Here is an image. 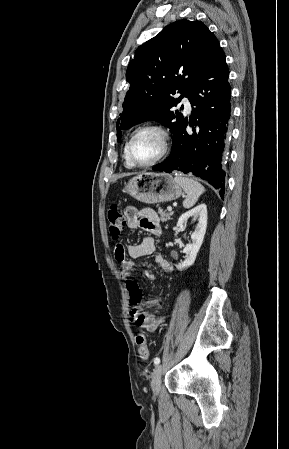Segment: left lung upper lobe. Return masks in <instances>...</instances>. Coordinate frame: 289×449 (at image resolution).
Segmentation results:
<instances>
[{"instance_id":"1","label":"left lung upper lobe","mask_w":289,"mask_h":449,"mask_svg":"<svg viewBox=\"0 0 289 449\" xmlns=\"http://www.w3.org/2000/svg\"><path fill=\"white\" fill-rule=\"evenodd\" d=\"M219 46L203 23L185 19L139 46L126 71L130 88L117 120V141L122 129L146 120L158 121L174 134L184 117L170 109L188 97L202 67ZM176 92L181 93L179 98L172 97Z\"/></svg>"}]
</instances>
